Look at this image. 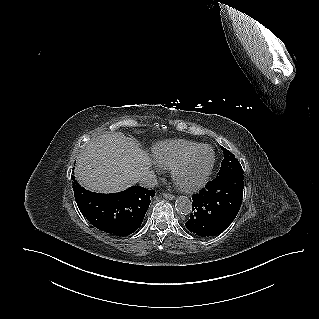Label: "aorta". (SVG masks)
I'll list each match as a JSON object with an SVG mask.
<instances>
[{
  "mask_svg": "<svg viewBox=\"0 0 319 319\" xmlns=\"http://www.w3.org/2000/svg\"><path fill=\"white\" fill-rule=\"evenodd\" d=\"M175 208L178 213L187 215L192 210V203L187 196H179L176 199Z\"/></svg>",
  "mask_w": 319,
  "mask_h": 319,
  "instance_id": "obj_1",
  "label": "aorta"
}]
</instances>
